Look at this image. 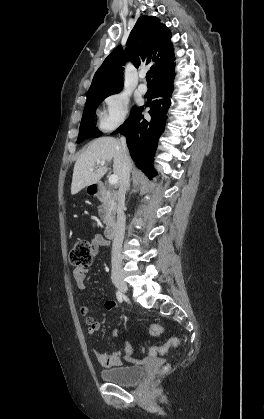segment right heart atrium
Listing matches in <instances>:
<instances>
[{
    "label": "right heart atrium",
    "instance_id": "obj_1",
    "mask_svg": "<svg viewBox=\"0 0 264 419\" xmlns=\"http://www.w3.org/2000/svg\"><path fill=\"white\" fill-rule=\"evenodd\" d=\"M129 99L122 93H113L105 99V108L99 115V125L104 132L121 126L129 114Z\"/></svg>",
    "mask_w": 264,
    "mask_h": 419
}]
</instances>
